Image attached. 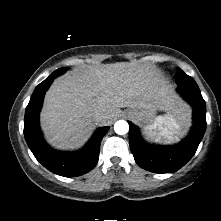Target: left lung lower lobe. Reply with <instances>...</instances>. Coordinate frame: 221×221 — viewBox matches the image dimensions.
<instances>
[{"instance_id": "1", "label": "left lung lower lobe", "mask_w": 221, "mask_h": 221, "mask_svg": "<svg viewBox=\"0 0 221 221\" xmlns=\"http://www.w3.org/2000/svg\"><path fill=\"white\" fill-rule=\"evenodd\" d=\"M178 92L193 108V126L187 138L173 146L146 143L138 128L129 123V144L136 163L154 173H172L195 154L206 130V105L198 87L178 86Z\"/></svg>"}]
</instances>
